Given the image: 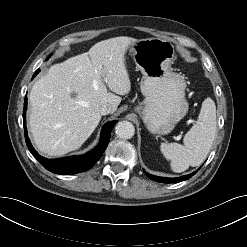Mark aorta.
I'll return each mask as SVG.
<instances>
[{"label": "aorta", "mask_w": 247, "mask_h": 247, "mask_svg": "<svg viewBox=\"0 0 247 247\" xmlns=\"http://www.w3.org/2000/svg\"><path fill=\"white\" fill-rule=\"evenodd\" d=\"M134 125L129 121H120L116 126V135L121 139H130L134 136Z\"/></svg>", "instance_id": "1"}]
</instances>
